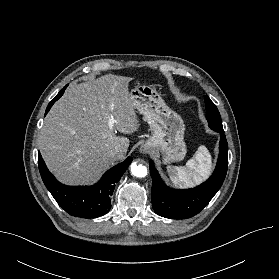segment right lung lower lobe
<instances>
[{
  "mask_svg": "<svg viewBox=\"0 0 279 279\" xmlns=\"http://www.w3.org/2000/svg\"><path fill=\"white\" fill-rule=\"evenodd\" d=\"M66 87L48 104L46 113L54 102L63 95ZM131 162L132 159L128 157L124 162L117 164L108 170L94 186H66L51 175L40 152H38L39 171L45 186L67 213L81 218H96L109 212L111 208L110 196L115 188V183L120 180Z\"/></svg>",
  "mask_w": 279,
  "mask_h": 279,
  "instance_id": "obj_1",
  "label": "right lung lower lobe"
}]
</instances>
